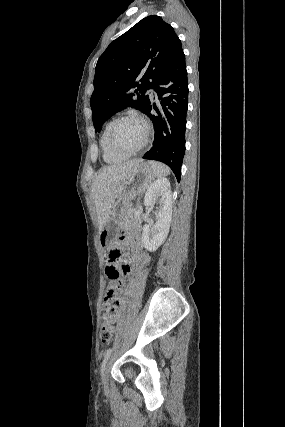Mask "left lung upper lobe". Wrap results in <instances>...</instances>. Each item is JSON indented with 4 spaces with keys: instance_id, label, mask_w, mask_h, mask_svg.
I'll list each match as a JSON object with an SVG mask.
<instances>
[{
    "instance_id": "5c2ea615",
    "label": "left lung upper lobe",
    "mask_w": 285,
    "mask_h": 427,
    "mask_svg": "<svg viewBox=\"0 0 285 427\" xmlns=\"http://www.w3.org/2000/svg\"><path fill=\"white\" fill-rule=\"evenodd\" d=\"M181 51L174 29L156 15L142 19L111 42L95 70L90 99L95 131L127 106L145 113L150 104L146 91L155 87Z\"/></svg>"
}]
</instances>
